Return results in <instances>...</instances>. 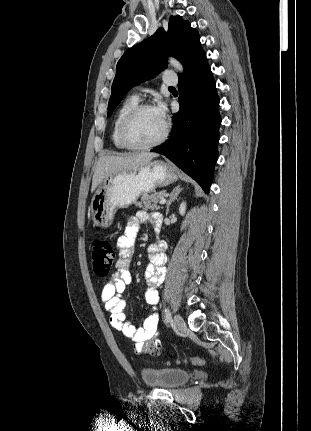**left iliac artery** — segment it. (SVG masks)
<instances>
[{"label": "left iliac artery", "mask_w": 311, "mask_h": 431, "mask_svg": "<svg viewBox=\"0 0 311 431\" xmlns=\"http://www.w3.org/2000/svg\"><path fill=\"white\" fill-rule=\"evenodd\" d=\"M171 319H172L171 312L168 308H166L165 309V316H164L165 323L166 324L169 323L171 321Z\"/></svg>", "instance_id": "left-iliac-artery-1"}]
</instances>
